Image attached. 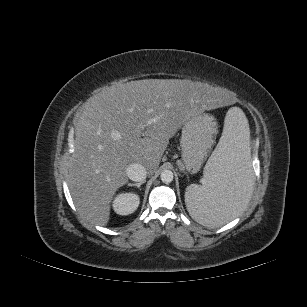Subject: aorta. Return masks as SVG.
Instances as JSON below:
<instances>
[{"instance_id":"obj_1","label":"aorta","mask_w":307,"mask_h":307,"mask_svg":"<svg viewBox=\"0 0 307 307\" xmlns=\"http://www.w3.org/2000/svg\"><path fill=\"white\" fill-rule=\"evenodd\" d=\"M161 181L163 183H171L173 181L174 175L171 170H164L160 175Z\"/></svg>"}]
</instances>
